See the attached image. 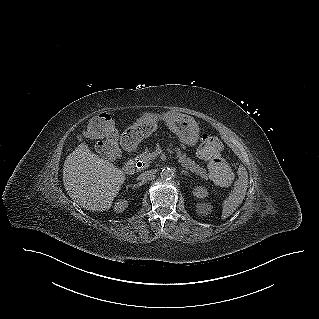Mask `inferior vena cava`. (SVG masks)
Wrapping results in <instances>:
<instances>
[{"mask_svg": "<svg viewBox=\"0 0 319 319\" xmlns=\"http://www.w3.org/2000/svg\"><path fill=\"white\" fill-rule=\"evenodd\" d=\"M153 174H154L153 170L145 171L139 175V178L140 179H147V178L151 177Z\"/></svg>", "mask_w": 319, "mask_h": 319, "instance_id": "inferior-vena-cava-1", "label": "inferior vena cava"}]
</instances>
